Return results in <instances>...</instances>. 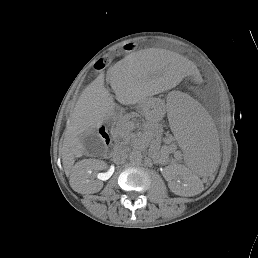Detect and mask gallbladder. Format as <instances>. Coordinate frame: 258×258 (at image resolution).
Instances as JSON below:
<instances>
[{"label": "gallbladder", "mask_w": 258, "mask_h": 258, "mask_svg": "<svg viewBox=\"0 0 258 258\" xmlns=\"http://www.w3.org/2000/svg\"><path fill=\"white\" fill-rule=\"evenodd\" d=\"M82 141H83L85 150L90 155L96 153L97 151H101L103 148L102 139L95 132L88 135L83 134Z\"/></svg>", "instance_id": "1"}]
</instances>
